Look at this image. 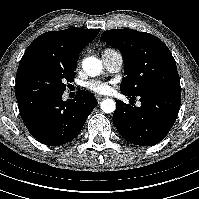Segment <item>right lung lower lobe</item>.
<instances>
[{
	"instance_id": "98d812e1",
	"label": "right lung lower lobe",
	"mask_w": 199,
	"mask_h": 199,
	"mask_svg": "<svg viewBox=\"0 0 199 199\" xmlns=\"http://www.w3.org/2000/svg\"><path fill=\"white\" fill-rule=\"evenodd\" d=\"M21 118L31 135L48 146H59L77 137L97 105L96 98L80 90L75 99L62 101V93L17 99Z\"/></svg>"
}]
</instances>
